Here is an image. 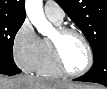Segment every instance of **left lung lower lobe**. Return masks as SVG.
<instances>
[{"label": "left lung lower lobe", "mask_w": 107, "mask_h": 89, "mask_svg": "<svg viewBox=\"0 0 107 89\" xmlns=\"http://www.w3.org/2000/svg\"><path fill=\"white\" fill-rule=\"evenodd\" d=\"M75 80L95 82L107 86V49L94 56V64L87 74Z\"/></svg>", "instance_id": "1"}]
</instances>
